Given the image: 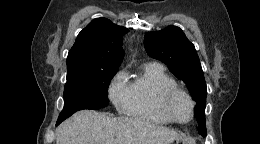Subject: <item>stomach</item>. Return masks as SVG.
<instances>
[{
    "instance_id": "1",
    "label": "stomach",
    "mask_w": 260,
    "mask_h": 144,
    "mask_svg": "<svg viewBox=\"0 0 260 144\" xmlns=\"http://www.w3.org/2000/svg\"><path fill=\"white\" fill-rule=\"evenodd\" d=\"M180 143V141L179 140H176V143H174V141L173 142H171V143H169V144H179Z\"/></svg>"
}]
</instances>
